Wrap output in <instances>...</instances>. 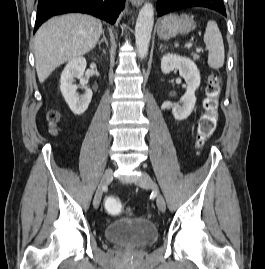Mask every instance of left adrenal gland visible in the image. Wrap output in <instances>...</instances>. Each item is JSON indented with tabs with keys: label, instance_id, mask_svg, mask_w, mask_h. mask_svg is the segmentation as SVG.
<instances>
[{
	"label": "left adrenal gland",
	"instance_id": "a2214340",
	"mask_svg": "<svg viewBox=\"0 0 265 269\" xmlns=\"http://www.w3.org/2000/svg\"><path fill=\"white\" fill-rule=\"evenodd\" d=\"M163 48H166V46H164L163 44H161L159 50L163 51Z\"/></svg>",
	"mask_w": 265,
	"mask_h": 269
}]
</instances>
